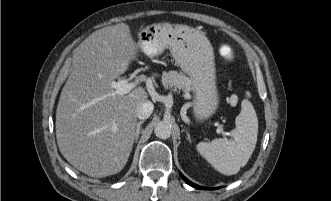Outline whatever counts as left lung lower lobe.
<instances>
[{"label":"left lung lower lobe","instance_id":"left-lung-lower-lobe-1","mask_svg":"<svg viewBox=\"0 0 331 201\" xmlns=\"http://www.w3.org/2000/svg\"><path fill=\"white\" fill-rule=\"evenodd\" d=\"M181 177L183 178V180L188 183L190 186L196 188V189H201V190H212L213 188H207V187H202V186H199V185H196L194 183H192L191 181H189L186 177H184L182 174H181ZM215 189V188H214Z\"/></svg>","mask_w":331,"mask_h":201}]
</instances>
